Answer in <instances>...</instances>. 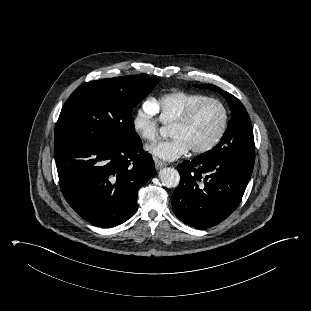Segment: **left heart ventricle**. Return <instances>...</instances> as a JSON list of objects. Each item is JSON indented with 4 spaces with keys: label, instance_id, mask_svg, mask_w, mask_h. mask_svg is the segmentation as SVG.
Returning a JSON list of instances; mask_svg holds the SVG:
<instances>
[{
    "label": "left heart ventricle",
    "instance_id": "1",
    "mask_svg": "<svg viewBox=\"0 0 311 311\" xmlns=\"http://www.w3.org/2000/svg\"><path fill=\"white\" fill-rule=\"evenodd\" d=\"M223 113L216 103H207L200 108L193 120L186 126H171L170 136L183 139L190 149L204 146L218 132Z\"/></svg>",
    "mask_w": 311,
    "mask_h": 311
}]
</instances>
